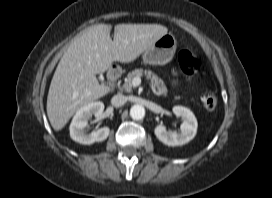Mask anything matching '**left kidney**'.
Here are the masks:
<instances>
[{"label": "left kidney", "mask_w": 272, "mask_h": 198, "mask_svg": "<svg viewBox=\"0 0 272 198\" xmlns=\"http://www.w3.org/2000/svg\"><path fill=\"white\" fill-rule=\"evenodd\" d=\"M172 111L183 120L180 126L181 132H168L164 125H158L154 133L167 146L184 145L195 137L198 127L197 119L190 109L183 106H174Z\"/></svg>", "instance_id": "left-kidney-1"}]
</instances>
